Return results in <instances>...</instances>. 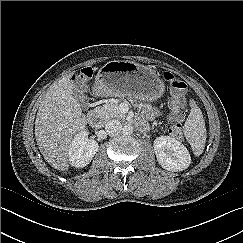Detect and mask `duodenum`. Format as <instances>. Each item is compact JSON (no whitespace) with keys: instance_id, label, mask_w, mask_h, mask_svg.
Masks as SVG:
<instances>
[{"instance_id":"410a0bca","label":"duodenum","mask_w":243,"mask_h":243,"mask_svg":"<svg viewBox=\"0 0 243 243\" xmlns=\"http://www.w3.org/2000/svg\"><path fill=\"white\" fill-rule=\"evenodd\" d=\"M87 121L92 127H99L102 124V116L98 110L92 109L87 114ZM138 125L142 130L147 129V125L143 121H139Z\"/></svg>"}]
</instances>
